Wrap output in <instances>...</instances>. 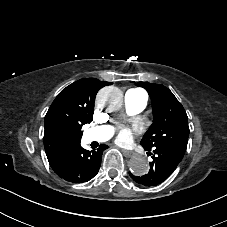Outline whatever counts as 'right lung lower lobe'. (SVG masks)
<instances>
[{"mask_svg":"<svg viewBox=\"0 0 227 227\" xmlns=\"http://www.w3.org/2000/svg\"><path fill=\"white\" fill-rule=\"evenodd\" d=\"M106 148L108 146L102 144L97 150L89 151L78 143L65 149L49 163L53 171L66 181L87 182L98 173L102 152Z\"/></svg>","mask_w":227,"mask_h":227,"instance_id":"98d812e1","label":"right lung lower lobe"}]
</instances>
